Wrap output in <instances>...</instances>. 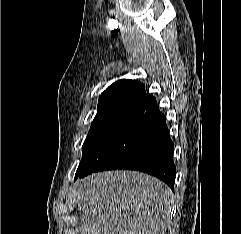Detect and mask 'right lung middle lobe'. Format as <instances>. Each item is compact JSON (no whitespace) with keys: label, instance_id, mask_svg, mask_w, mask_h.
I'll use <instances>...</instances> for the list:
<instances>
[{"label":"right lung middle lobe","instance_id":"dd1d6c3e","mask_svg":"<svg viewBox=\"0 0 241 234\" xmlns=\"http://www.w3.org/2000/svg\"><path fill=\"white\" fill-rule=\"evenodd\" d=\"M136 108L137 105L132 104L98 106L97 115L91 124L88 136L82 147L83 156L76 175L85 167L87 161L103 140Z\"/></svg>","mask_w":241,"mask_h":234}]
</instances>
